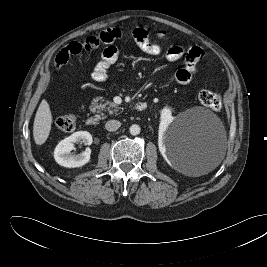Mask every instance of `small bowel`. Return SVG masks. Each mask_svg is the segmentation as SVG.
Segmentation results:
<instances>
[{
	"label": "small bowel",
	"instance_id": "1",
	"mask_svg": "<svg viewBox=\"0 0 267 267\" xmlns=\"http://www.w3.org/2000/svg\"><path fill=\"white\" fill-rule=\"evenodd\" d=\"M122 37V31L118 28H108L98 35L89 36L84 41H74L61 49L55 57L57 68L64 66L72 56L80 54L82 51L96 50L101 44L106 45L102 51L101 59L96 63L92 71V79L96 82H103L107 79L110 67L119 59V50L113 43ZM133 37L137 46L145 53L157 55L161 49L158 45L148 40V32L145 28L139 27L133 31ZM203 56L199 47H191L187 50L180 46L171 47L166 54L170 62L180 59L184 60V67L177 70L175 80L180 85H186L196 73L197 63Z\"/></svg>",
	"mask_w": 267,
	"mask_h": 267
}]
</instances>
